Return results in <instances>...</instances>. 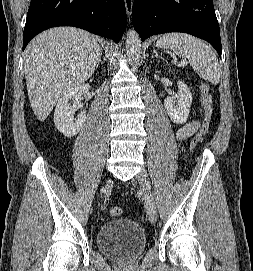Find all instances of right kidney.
<instances>
[{"label":"right kidney","mask_w":253,"mask_h":271,"mask_svg":"<svg viewBox=\"0 0 253 271\" xmlns=\"http://www.w3.org/2000/svg\"><path fill=\"white\" fill-rule=\"evenodd\" d=\"M90 90L89 84H81L69 89L58 101L54 112V123L59 132L66 137H73L80 131L86 120V113L82 112L78 118L74 117L77 108L81 107L78 99ZM73 104L69 105V101Z\"/></svg>","instance_id":"right-kidney-1"}]
</instances>
